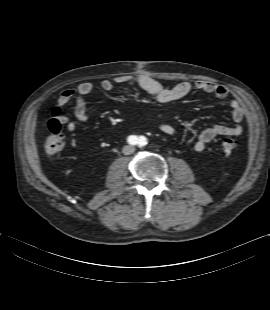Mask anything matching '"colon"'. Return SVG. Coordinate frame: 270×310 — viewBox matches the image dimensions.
Here are the masks:
<instances>
[{"label":"colon","mask_w":270,"mask_h":310,"mask_svg":"<svg viewBox=\"0 0 270 310\" xmlns=\"http://www.w3.org/2000/svg\"><path fill=\"white\" fill-rule=\"evenodd\" d=\"M58 112L53 111V117L49 120L47 129L48 136L45 141V151L50 156L60 153L65 144V136L62 130V124L57 118ZM236 141L232 138H223L220 142V148L223 152H232L236 148Z\"/></svg>","instance_id":"colon-1"}]
</instances>
